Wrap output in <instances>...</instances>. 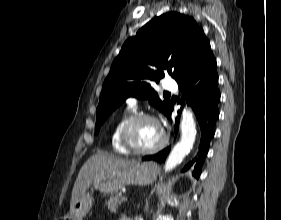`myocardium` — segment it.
I'll return each mask as SVG.
<instances>
[{"instance_id":"1","label":"myocardium","mask_w":281,"mask_h":220,"mask_svg":"<svg viewBox=\"0 0 281 220\" xmlns=\"http://www.w3.org/2000/svg\"><path fill=\"white\" fill-rule=\"evenodd\" d=\"M154 121L156 122L159 126V121L157 120V118H155L154 116L150 115V114H136L134 116H132L122 127L121 131H120V142L122 144V146L130 153L132 154H137V155H148V154H154L158 151H160L161 149H163L165 147V145L167 144V136L164 133V131L162 130L161 126V130H162V140L161 142L152 147V148H148V149H142L137 147L132 139V133L134 128L142 121Z\"/></svg>"}]
</instances>
